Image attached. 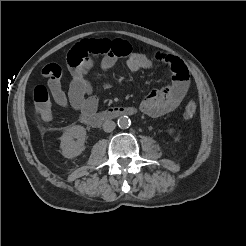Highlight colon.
I'll return each mask as SVG.
<instances>
[{
    "mask_svg": "<svg viewBox=\"0 0 246 246\" xmlns=\"http://www.w3.org/2000/svg\"><path fill=\"white\" fill-rule=\"evenodd\" d=\"M33 98L38 116L45 121H51L53 119V113L47 89L41 85L37 86L34 89ZM196 111V102L194 100H189L183 112L184 119H192L195 116Z\"/></svg>",
    "mask_w": 246,
    "mask_h": 246,
    "instance_id": "5ec220e1",
    "label": "colon"
}]
</instances>
